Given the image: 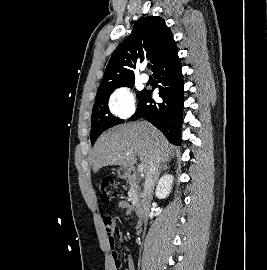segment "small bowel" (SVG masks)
<instances>
[{
  "mask_svg": "<svg viewBox=\"0 0 267 270\" xmlns=\"http://www.w3.org/2000/svg\"><path fill=\"white\" fill-rule=\"evenodd\" d=\"M118 207L120 209H123L126 214L131 213V206L126 201H120L118 203ZM104 225L106 228V231L108 233L111 249H112V257H113V263L114 267L116 268V258H119L118 251L116 248V241L122 239V232L120 229L115 225L113 218L111 215H106L104 218ZM136 228H139L141 226L140 222L134 223ZM128 270H134V265L132 259L128 258Z\"/></svg>",
  "mask_w": 267,
  "mask_h": 270,
  "instance_id": "c3829d8e",
  "label": "small bowel"
}]
</instances>
